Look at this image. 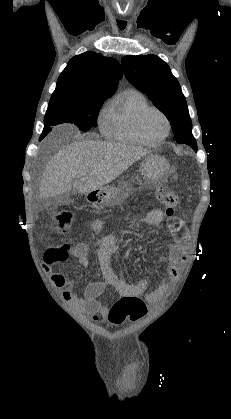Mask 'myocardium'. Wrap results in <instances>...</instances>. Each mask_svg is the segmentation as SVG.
Listing matches in <instances>:
<instances>
[{
  "label": "myocardium",
  "mask_w": 231,
  "mask_h": 419,
  "mask_svg": "<svg viewBox=\"0 0 231 419\" xmlns=\"http://www.w3.org/2000/svg\"><path fill=\"white\" fill-rule=\"evenodd\" d=\"M151 111L158 112L166 122L167 130H166L165 134L158 139H150L148 136H146V134L143 131V126H142L143 125V120H144L145 116ZM135 129H136V132H137L138 136L146 144L155 145V144H159V143L163 142L169 136V134L171 132V122H170L168 116L166 115V113L164 111H162L160 108L155 107V106H148V107L144 108L143 110H141L139 112V114L137 115L136 120H135Z\"/></svg>",
  "instance_id": "obj_1"
}]
</instances>
